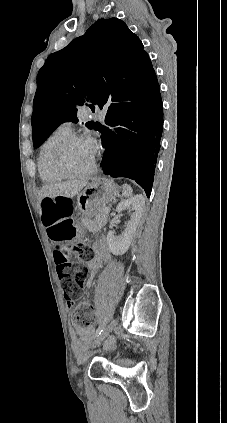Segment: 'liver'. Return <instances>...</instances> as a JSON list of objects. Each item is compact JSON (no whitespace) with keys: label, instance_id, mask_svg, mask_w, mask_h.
Masks as SVG:
<instances>
[{"label":"liver","instance_id":"liver-1","mask_svg":"<svg viewBox=\"0 0 227 423\" xmlns=\"http://www.w3.org/2000/svg\"><path fill=\"white\" fill-rule=\"evenodd\" d=\"M87 182H54V184H44L39 194V208L43 198H57V196H64V198H74L77 196Z\"/></svg>","mask_w":227,"mask_h":423}]
</instances>
